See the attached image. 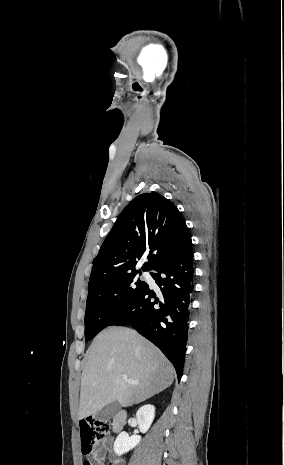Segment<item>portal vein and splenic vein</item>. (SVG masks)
<instances>
[{"label": "portal vein and splenic vein", "instance_id": "1", "mask_svg": "<svg viewBox=\"0 0 284 465\" xmlns=\"http://www.w3.org/2000/svg\"><path fill=\"white\" fill-rule=\"evenodd\" d=\"M123 381H127V383H136L133 379H128L127 375H121Z\"/></svg>", "mask_w": 284, "mask_h": 465}]
</instances>
